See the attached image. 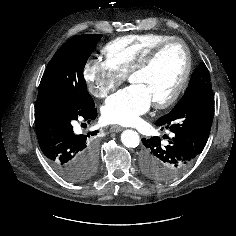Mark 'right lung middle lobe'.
Listing matches in <instances>:
<instances>
[{"label":"right lung middle lobe","instance_id":"1","mask_svg":"<svg viewBox=\"0 0 236 236\" xmlns=\"http://www.w3.org/2000/svg\"><path fill=\"white\" fill-rule=\"evenodd\" d=\"M101 35H79L68 40L53 56L42 76L37 101L50 100L81 109L94 101L86 88L83 69ZM97 158L81 169L79 180H86L95 172Z\"/></svg>","mask_w":236,"mask_h":236}]
</instances>
